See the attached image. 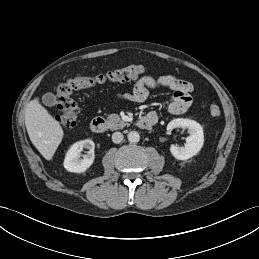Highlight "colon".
Instances as JSON below:
<instances>
[{"mask_svg":"<svg viewBox=\"0 0 259 259\" xmlns=\"http://www.w3.org/2000/svg\"><path fill=\"white\" fill-rule=\"evenodd\" d=\"M145 72V67L132 65L105 74L75 77L60 82L56 89V103L61 111L58 117L60 125L65 129H72L77 125L80 110L72 98L74 92L107 82H126L138 78ZM209 112L213 117H218L221 114L217 105H211Z\"/></svg>","mask_w":259,"mask_h":259,"instance_id":"colon-1","label":"colon"}]
</instances>
